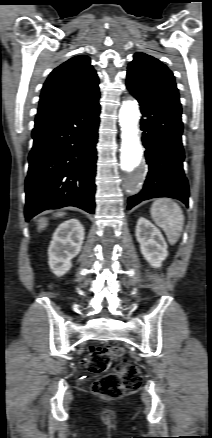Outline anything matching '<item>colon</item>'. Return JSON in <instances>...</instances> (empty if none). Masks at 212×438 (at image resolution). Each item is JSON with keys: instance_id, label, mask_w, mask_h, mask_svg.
Masks as SVG:
<instances>
[{"instance_id": "colon-1", "label": "colon", "mask_w": 212, "mask_h": 438, "mask_svg": "<svg viewBox=\"0 0 212 438\" xmlns=\"http://www.w3.org/2000/svg\"><path fill=\"white\" fill-rule=\"evenodd\" d=\"M123 356V348L117 343L89 349L87 356L82 360V365L92 373H104L92 384V391L95 394L106 398H117L140 386L142 380L140 371L124 360ZM117 360H122L124 364L108 372L111 363Z\"/></svg>"}]
</instances>
